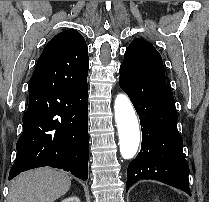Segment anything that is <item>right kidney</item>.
I'll return each mask as SVG.
<instances>
[{
  "label": "right kidney",
  "mask_w": 209,
  "mask_h": 202,
  "mask_svg": "<svg viewBox=\"0 0 209 202\" xmlns=\"http://www.w3.org/2000/svg\"><path fill=\"white\" fill-rule=\"evenodd\" d=\"M61 202H81V201L78 197L71 196V197H68V198L62 200Z\"/></svg>",
  "instance_id": "ca27d5eb"
}]
</instances>
